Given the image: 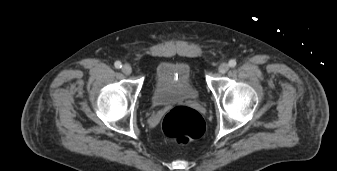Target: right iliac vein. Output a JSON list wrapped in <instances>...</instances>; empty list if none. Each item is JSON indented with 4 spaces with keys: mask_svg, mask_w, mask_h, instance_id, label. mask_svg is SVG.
Returning a JSON list of instances; mask_svg holds the SVG:
<instances>
[{
    "mask_svg": "<svg viewBox=\"0 0 337 171\" xmlns=\"http://www.w3.org/2000/svg\"><path fill=\"white\" fill-rule=\"evenodd\" d=\"M122 72L125 74V75H130L132 73V67L129 65V64H125L123 65L122 67Z\"/></svg>",
    "mask_w": 337,
    "mask_h": 171,
    "instance_id": "1",
    "label": "right iliac vein"
}]
</instances>
